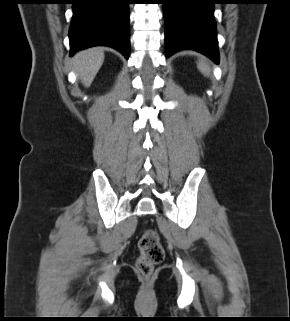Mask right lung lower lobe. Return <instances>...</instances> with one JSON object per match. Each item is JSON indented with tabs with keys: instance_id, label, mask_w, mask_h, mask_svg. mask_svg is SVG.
<instances>
[{
	"instance_id": "1",
	"label": "right lung lower lobe",
	"mask_w": 290,
	"mask_h": 321,
	"mask_svg": "<svg viewBox=\"0 0 290 321\" xmlns=\"http://www.w3.org/2000/svg\"><path fill=\"white\" fill-rule=\"evenodd\" d=\"M72 4L71 56L79 50L104 45L129 58L128 0H73Z\"/></svg>"
}]
</instances>
